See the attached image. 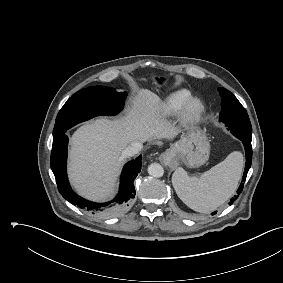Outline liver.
<instances>
[{
    "mask_svg": "<svg viewBox=\"0 0 283 283\" xmlns=\"http://www.w3.org/2000/svg\"><path fill=\"white\" fill-rule=\"evenodd\" d=\"M174 127L160 113L159 98L140 89L125 116L98 118L78 128L71 137L69 177L74 189L92 200H105L115 189L122 151L133 142L169 139Z\"/></svg>",
    "mask_w": 283,
    "mask_h": 283,
    "instance_id": "6515ba94",
    "label": "liver"
}]
</instances>
